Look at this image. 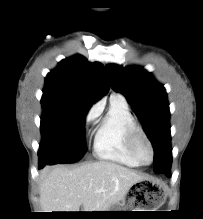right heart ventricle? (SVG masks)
Wrapping results in <instances>:
<instances>
[{"mask_svg": "<svg viewBox=\"0 0 203 219\" xmlns=\"http://www.w3.org/2000/svg\"><path fill=\"white\" fill-rule=\"evenodd\" d=\"M135 124L127 104L111 98L110 108L95 133V156L128 167L141 166L132 155L127 141L128 132Z\"/></svg>", "mask_w": 203, "mask_h": 219, "instance_id": "1", "label": "right heart ventricle"}]
</instances>
